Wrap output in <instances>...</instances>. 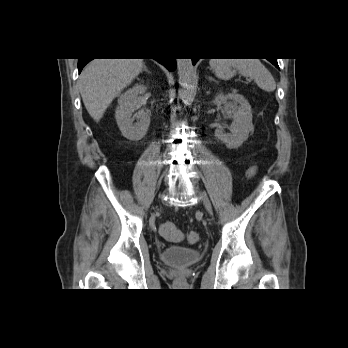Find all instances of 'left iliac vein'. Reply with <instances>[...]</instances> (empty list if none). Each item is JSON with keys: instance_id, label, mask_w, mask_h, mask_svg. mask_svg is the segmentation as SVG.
Wrapping results in <instances>:
<instances>
[{"instance_id": "1", "label": "left iliac vein", "mask_w": 348, "mask_h": 348, "mask_svg": "<svg viewBox=\"0 0 348 348\" xmlns=\"http://www.w3.org/2000/svg\"><path fill=\"white\" fill-rule=\"evenodd\" d=\"M199 196H200V198H201V200H202V202H203V204H204L206 210H207L209 213H211V212H212V206H211V203H210L208 197L206 196V194L200 193Z\"/></svg>"}]
</instances>
